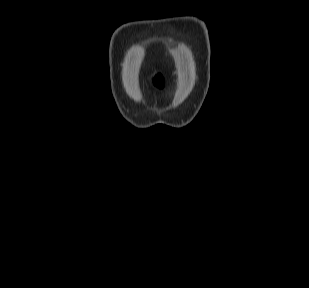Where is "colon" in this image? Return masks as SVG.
<instances>
[{"label":"colon","mask_w":309,"mask_h":288,"mask_svg":"<svg viewBox=\"0 0 309 288\" xmlns=\"http://www.w3.org/2000/svg\"><path fill=\"white\" fill-rule=\"evenodd\" d=\"M159 85H162V81L161 80H159Z\"/></svg>","instance_id":"5ec220e1"}]
</instances>
